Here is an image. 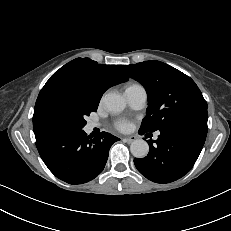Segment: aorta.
<instances>
[{
  "instance_id": "762f6f07",
  "label": "aorta",
  "mask_w": 231,
  "mask_h": 231,
  "mask_svg": "<svg viewBox=\"0 0 231 231\" xmlns=\"http://www.w3.org/2000/svg\"><path fill=\"white\" fill-rule=\"evenodd\" d=\"M104 105L112 113H119L124 110L126 103L122 96L117 93H108L104 96ZM130 151L136 158H144L149 153V145L143 139L134 140L130 145Z\"/></svg>"
}]
</instances>
